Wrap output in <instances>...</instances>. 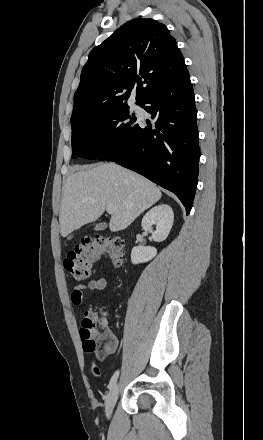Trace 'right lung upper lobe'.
<instances>
[{"mask_svg": "<svg viewBox=\"0 0 263 440\" xmlns=\"http://www.w3.org/2000/svg\"><path fill=\"white\" fill-rule=\"evenodd\" d=\"M186 70L164 24L143 18L128 21L90 52L74 95L71 122L90 112L127 104L133 88L140 103Z\"/></svg>", "mask_w": 263, "mask_h": 440, "instance_id": "obj_1", "label": "right lung upper lobe"}]
</instances>
